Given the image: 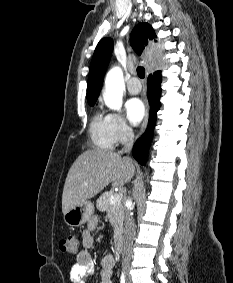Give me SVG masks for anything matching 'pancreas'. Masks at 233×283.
I'll return each mask as SVG.
<instances>
[{
    "mask_svg": "<svg viewBox=\"0 0 233 283\" xmlns=\"http://www.w3.org/2000/svg\"><path fill=\"white\" fill-rule=\"evenodd\" d=\"M113 195L115 193L112 190L102 193L97 200L96 206L100 211H105L110 217L116 237L122 232L124 207L121 200L113 203L110 202V197Z\"/></svg>",
    "mask_w": 233,
    "mask_h": 283,
    "instance_id": "pancreas-1",
    "label": "pancreas"
}]
</instances>
